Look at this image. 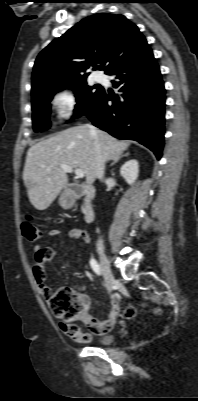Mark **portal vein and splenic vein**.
<instances>
[{
  "instance_id": "portal-vein-and-splenic-vein-1",
  "label": "portal vein and splenic vein",
  "mask_w": 198,
  "mask_h": 401,
  "mask_svg": "<svg viewBox=\"0 0 198 401\" xmlns=\"http://www.w3.org/2000/svg\"><path fill=\"white\" fill-rule=\"evenodd\" d=\"M60 166H61V168H62L65 172H67V173H72V172H74L77 178H83L84 175H85V174H84V171L81 170V169H77V168L74 169V168H72V167H70V166H68V165H66V164H61ZM48 170H49V169H48Z\"/></svg>"
}]
</instances>
